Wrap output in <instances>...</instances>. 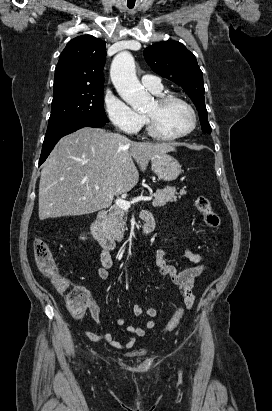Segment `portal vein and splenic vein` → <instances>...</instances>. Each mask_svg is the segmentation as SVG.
Wrapping results in <instances>:
<instances>
[{
	"label": "portal vein and splenic vein",
	"mask_w": 272,
	"mask_h": 411,
	"mask_svg": "<svg viewBox=\"0 0 272 411\" xmlns=\"http://www.w3.org/2000/svg\"><path fill=\"white\" fill-rule=\"evenodd\" d=\"M96 189H99V187L96 186ZM150 200H152V196H149V197L139 196V197L133 199L132 201H126V200L118 198V199L115 200V204H116V206L122 208L123 210H128L131 207V204H134V203L140 202V201H150Z\"/></svg>",
	"instance_id": "obj_1"
}]
</instances>
